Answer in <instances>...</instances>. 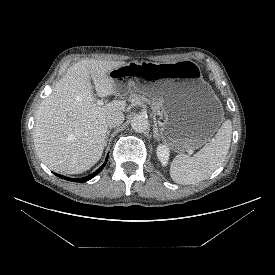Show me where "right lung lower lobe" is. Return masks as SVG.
<instances>
[{
    "instance_id": "obj_1",
    "label": "right lung lower lobe",
    "mask_w": 275,
    "mask_h": 275,
    "mask_svg": "<svg viewBox=\"0 0 275 275\" xmlns=\"http://www.w3.org/2000/svg\"><path fill=\"white\" fill-rule=\"evenodd\" d=\"M107 159H108V156L106 157L105 161H107ZM105 165H106V162L98 170H96L94 173L90 174L87 177L80 178V179L68 178V177H65V176H62V175H59V174H55V175H57L60 178L65 179V180H70V181H74V182H86V181L92 179L94 176H96L104 168Z\"/></svg>"
}]
</instances>
